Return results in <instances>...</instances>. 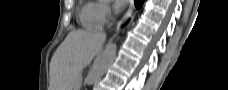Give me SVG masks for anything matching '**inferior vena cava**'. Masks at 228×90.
Here are the masks:
<instances>
[{"instance_id": "1", "label": "inferior vena cava", "mask_w": 228, "mask_h": 90, "mask_svg": "<svg viewBox=\"0 0 228 90\" xmlns=\"http://www.w3.org/2000/svg\"><path fill=\"white\" fill-rule=\"evenodd\" d=\"M98 33H100L101 35H105V33H104V32H102V31H101V32H98Z\"/></svg>"}]
</instances>
